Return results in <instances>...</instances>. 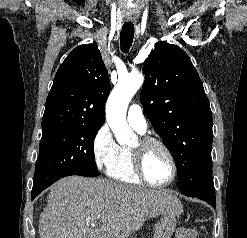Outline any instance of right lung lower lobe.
<instances>
[{
	"label": "right lung lower lobe",
	"mask_w": 247,
	"mask_h": 238,
	"mask_svg": "<svg viewBox=\"0 0 247 238\" xmlns=\"http://www.w3.org/2000/svg\"><path fill=\"white\" fill-rule=\"evenodd\" d=\"M36 196V194H31V199L33 200Z\"/></svg>",
	"instance_id": "obj_1"
}]
</instances>
